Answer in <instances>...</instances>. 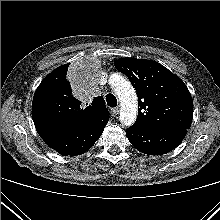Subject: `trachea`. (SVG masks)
<instances>
[{
  "label": "trachea",
  "mask_w": 220,
  "mask_h": 220,
  "mask_svg": "<svg viewBox=\"0 0 220 220\" xmlns=\"http://www.w3.org/2000/svg\"><path fill=\"white\" fill-rule=\"evenodd\" d=\"M106 101L108 106L110 107H116L117 106V99L113 94H107Z\"/></svg>",
  "instance_id": "1"
}]
</instances>
